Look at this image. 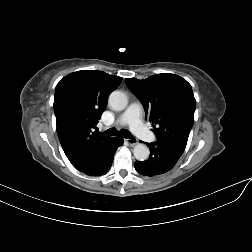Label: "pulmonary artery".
<instances>
[{"instance_id": "e3ab8cb5", "label": "pulmonary artery", "mask_w": 252, "mask_h": 252, "mask_svg": "<svg viewBox=\"0 0 252 252\" xmlns=\"http://www.w3.org/2000/svg\"><path fill=\"white\" fill-rule=\"evenodd\" d=\"M141 105L139 103H132L122 113L119 119L121 125H128L130 130L139 138L149 141L154 138L152 132H150L141 122Z\"/></svg>"}]
</instances>
